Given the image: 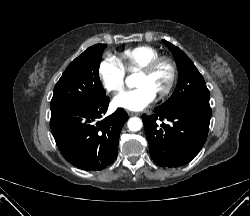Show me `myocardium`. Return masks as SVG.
<instances>
[{
    "label": "myocardium",
    "instance_id": "obj_1",
    "mask_svg": "<svg viewBox=\"0 0 250 216\" xmlns=\"http://www.w3.org/2000/svg\"><path fill=\"white\" fill-rule=\"evenodd\" d=\"M164 67L167 70V77L162 88L156 93L158 98L165 97L172 89L176 79L175 64L168 58H159L151 61L148 65L143 67L140 74H153L158 68Z\"/></svg>",
    "mask_w": 250,
    "mask_h": 216
}]
</instances>
